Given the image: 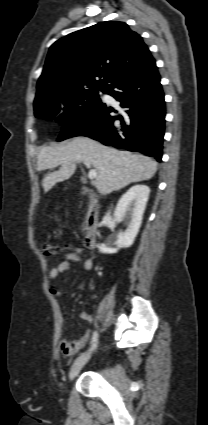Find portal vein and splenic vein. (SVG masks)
<instances>
[{"mask_svg": "<svg viewBox=\"0 0 208 425\" xmlns=\"http://www.w3.org/2000/svg\"><path fill=\"white\" fill-rule=\"evenodd\" d=\"M84 164H85L88 168H90V167H91V164H90V163H88V162H84ZM96 176H97V171H96V169H90V170H89V173H88V178H89L90 180H93V179H95V178H96Z\"/></svg>", "mask_w": 208, "mask_h": 425, "instance_id": "obj_1", "label": "portal vein and splenic vein"}]
</instances>
